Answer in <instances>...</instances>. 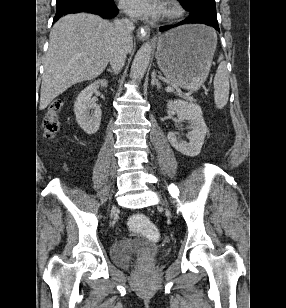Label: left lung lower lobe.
Returning a JSON list of instances; mask_svg holds the SVG:
<instances>
[{
	"label": "left lung lower lobe",
	"instance_id": "left-lung-lower-lobe-1",
	"mask_svg": "<svg viewBox=\"0 0 286 308\" xmlns=\"http://www.w3.org/2000/svg\"><path fill=\"white\" fill-rule=\"evenodd\" d=\"M183 8L190 11L189 17L175 25L161 27L160 31H166L183 24H206L220 31L216 16V6L214 4H195L189 8L184 6Z\"/></svg>",
	"mask_w": 286,
	"mask_h": 308
}]
</instances>
